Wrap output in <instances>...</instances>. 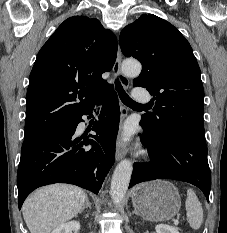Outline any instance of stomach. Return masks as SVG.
Masks as SVG:
<instances>
[{
    "instance_id": "stomach-1",
    "label": "stomach",
    "mask_w": 227,
    "mask_h": 233,
    "mask_svg": "<svg viewBox=\"0 0 227 233\" xmlns=\"http://www.w3.org/2000/svg\"><path fill=\"white\" fill-rule=\"evenodd\" d=\"M132 202L144 219L158 222L167 221L179 212L181 197L173 184L157 180L136 186Z\"/></svg>"
}]
</instances>
